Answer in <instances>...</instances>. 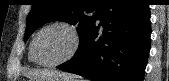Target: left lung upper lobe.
<instances>
[{
	"instance_id": "left-lung-upper-lobe-1",
	"label": "left lung upper lobe",
	"mask_w": 169,
	"mask_h": 81,
	"mask_svg": "<svg viewBox=\"0 0 169 81\" xmlns=\"http://www.w3.org/2000/svg\"><path fill=\"white\" fill-rule=\"evenodd\" d=\"M106 0H33L26 20L24 41L41 25L55 20L78 24L80 42L94 26ZM95 11L93 16L85 13Z\"/></svg>"
}]
</instances>
